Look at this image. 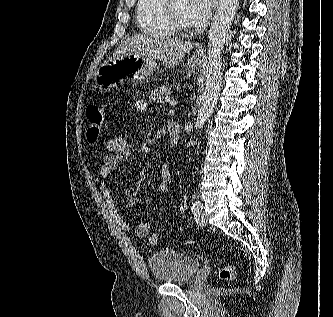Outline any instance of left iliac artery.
I'll return each instance as SVG.
<instances>
[{
  "label": "left iliac artery",
  "instance_id": "1",
  "mask_svg": "<svg viewBox=\"0 0 333 317\" xmlns=\"http://www.w3.org/2000/svg\"><path fill=\"white\" fill-rule=\"evenodd\" d=\"M199 209H200V202L199 201L193 202L191 205V211L193 213H195V212L199 211Z\"/></svg>",
  "mask_w": 333,
  "mask_h": 317
}]
</instances>
